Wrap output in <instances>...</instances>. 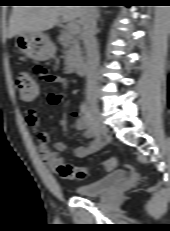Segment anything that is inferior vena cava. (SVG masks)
Returning <instances> with one entry per match:
<instances>
[{"label": "inferior vena cava", "instance_id": "602c4592", "mask_svg": "<svg viewBox=\"0 0 170 231\" xmlns=\"http://www.w3.org/2000/svg\"><path fill=\"white\" fill-rule=\"evenodd\" d=\"M97 9L95 6H82L80 22L83 26L82 38L87 51V84L88 94H93L97 87L99 52L95 39Z\"/></svg>", "mask_w": 170, "mask_h": 231}]
</instances>
